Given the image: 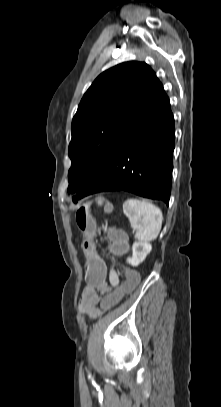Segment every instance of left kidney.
<instances>
[{
    "label": "left kidney",
    "mask_w": 221,
    "mask_h": 407,
    "mask_svg": "<svg viewBox=\"0 0 221 407\" xmlns=\"http://www.w3.org/2000/svg\"><path fill=\"white\" fill-rule=\"evenodd\" d=\"M151 250L152 246L149 242H135L132 246V257L128 258L127 262L132 266H138L145 260Z\"/></svg>",
    "instance_id": "left-kidney-1"
}]
</instances>
